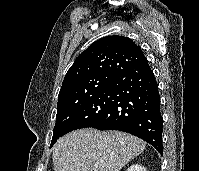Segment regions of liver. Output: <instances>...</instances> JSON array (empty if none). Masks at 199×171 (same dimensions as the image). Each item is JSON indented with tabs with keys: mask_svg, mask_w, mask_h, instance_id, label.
Returning <instances> with one entry per match:
<instances>
[{
	"mask_svg": "<svg viewBox=\"0 0 199 171\" xmlns=\"http://www.w3.org/2000/svg\"><path fill=\"white\" fill-rule=\"evenodd\" d=\"M145 147L143 140L125 132L76 130L54 145V171H120Z\"/></svg>",
	"mask_w": 199,
	"mask_h": 171,
	"instance_id": "6515ba94",
	"label": "liver"
}]
</instances>
